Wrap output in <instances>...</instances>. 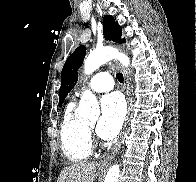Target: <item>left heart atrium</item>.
Here are the masks:
<instances>
[{"mask_svg":"<svg viewBox=\"0 0 196 182\" xmlns=\"http://www.w3.org/2000/svg\"><path fill=\"white\" fill-rule=\"evenodd\" d=\"M125 114V102L120 94L111 93L102 97L98 135L105 140L113 139L122 128Z\"/></svg>","mask_w":196,"mask_h":182,"instance_id":"1","label":"left heart atrium"}]
</instances>
